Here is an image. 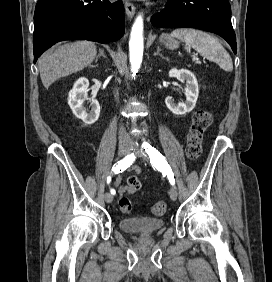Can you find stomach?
<instances>
[{
    "label": "stomach",
    "instance_id": "obj_1",
    "mask_svg": "<svg viewBox=\"0 0 272 282\" xmlns=\"http://www.w3.org/2000/svg\"><path fill=\"white\" fill-rule=\"evenodd\" d=\"M160 42L163 43L167 48L172 50L179 47V42L168 34H162L160 36Z\"/></svg>",
    "mask_w": 272,
    "mask_h": 282
}]
</instances>
